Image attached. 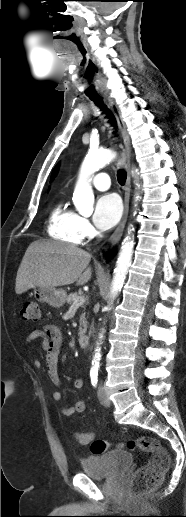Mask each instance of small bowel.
<instances>
[{
    "label": "small bowel",
    "instance_id": "1",
    "mask_svg": "<svg viewBox=\"0 0 186 517\" xmlns=\"http://www.w3.org/2000/svg\"><path fill=\"white\" fill-rule=\"evenodd\" d=\"M37 339L43 340V349L46 352V370L50 380L57 386H61L62 382L58 375V357L61 352L62 343H63V335L61 328L54 323H45L41 327L34 329L31 331L25 340V343L28 345ZM34 363L36 366H40V361L35 359ZM83 380L76 379L73 382V387L75 389H80L83 387ZM62 395L60 392L53 393V399L55 401H60ZM85 403L83 401H77L74 405L69 407L62 408V414L66 416L73 415L74 413L83 412L85 410ZM86 438L84 442H79L81 445H87L90 442V439L94 438L93 433H85L79 434Z\"/></svg>",
    "mask_w": 186,
    "mask_h": 517
}]
</instances>
